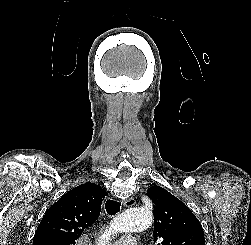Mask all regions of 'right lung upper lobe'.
Instances as JSON below:
<instances>
[{
  "label": "right lung upper lobe",
  "mask_w": 251,
  "mask_h": 245,
  "mask_svg": "<svg viewBox=\"0 0 251 245\" xmlns=\"http://www.w3.org/2000/svg\"><path fill=\"white\" fill-rule=\"evenodd\" d=\"M105 196L107 192L94 183L67 192L46 211L33 245H75L84 229L98 219Z\"/></svg>",
  "instance_id": "obj_1"
}]
</instances>
